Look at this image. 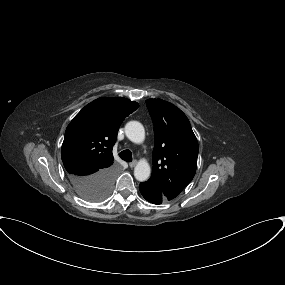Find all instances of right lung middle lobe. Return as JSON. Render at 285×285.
<instances>
[{
    "label": "right lung middle lobe",
    "instance_id": "right-lung-middle-lobe-1",
    "mask_svg": "<svg viewBox=\"0 0 285 285\" xmlns=\"http://www.w3.org/2000/svg\"><path fill=\"white\" fill-rule=\"evenodd\" d=\"M108 192H94L83 197L85 200L91 202H98L104 200L108 196Z\"/></svg>",
    "mask_w": 285,
    "mask_h": 285
}]
</instances>
